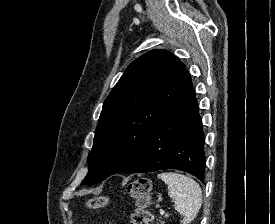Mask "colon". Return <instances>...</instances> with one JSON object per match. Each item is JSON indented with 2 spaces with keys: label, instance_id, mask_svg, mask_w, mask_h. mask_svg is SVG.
Returning <instances> with one entry per match:
<instances>
[{
  "label": "colon",
  "instance_id": "obj_1",
  "mask_svg": "<svg viewBox=\"0 0 275 224\" xmlns=\"http://www.w3.org/2000/svg\"><path fill=\"white\" fill-rule=\"evenodd\" d=\"M152 184L149 178L141 177L130 183L127 193L135 200L137 208L131 215V224H150L152 220L149 206L151 203ZM108 201L105 196H99L90 200L93 208L104 206Z\"/></svg>",
  "mask_w": 275,
  "mask_h": 224
}]
</instances>
